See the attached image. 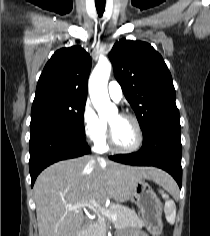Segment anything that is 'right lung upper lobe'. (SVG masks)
Instances as JSON below:
<instances>
[{"label": "right lung upper lobe", "mask_w": 210, "mask_h": 236, "mask_svg": "<svg viewBox=\"0 0 210 236\" xmlns=\"http://www.w3.org/2000/svg\"><path fill=\"white\" fill-rule=\"evenodd\" d=\"M90 70L91 58L82 47L56 51L40 75L34 102L60 96L86 99Z\"/></svg>", "instance_id": "1"}]
</instances>
